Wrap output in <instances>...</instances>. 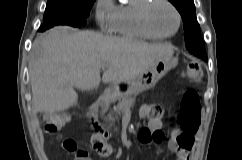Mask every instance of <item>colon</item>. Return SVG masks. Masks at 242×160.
<instances>
[{
    "label": "colon",
    "instance_id": "obj_1",
    "mask_svg": "<svg viewBox=\"0 0 242 160\" xmlns=\"http://www.w3.org/2000/svg\"><path fill=\"white\" fill-rule=\"evenodd\" d=\"M201 66L197 62L188 64L185 70V76L190 80H199L201 77ZM200 111L201 105L198 98V93L195 90H188L184 93L181 108L178 114V121L180 124V133H178L177 139L184 144L187 143L184 135L195 134L200 124ZM150 116L153 119H158L161 116V111L155 109L150 112ZM68 122V117L61 114H48L44 118V131L55 138L56 141L61 142L62 146L67 149V141L62 140L59 133L61 129ZM145 129V128H144ZM140 137L146 144L159 143L163 140V132L160 129L146 130L140 133ZM108 143L104 141H98L94 148L100 156H108L111 150L108 147ZM74 160H91L90 156L85 151H79Z\"/></svg>",
    "mask_w": 242,
    "mask_h": 160
}]
</instances>
